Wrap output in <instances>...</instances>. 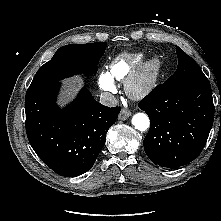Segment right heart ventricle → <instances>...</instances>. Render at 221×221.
Returning a JSON list of instances; mask_svg holds the SVG:
<instances>
[{
    "label": "right heart ventricle",
    "mask_w": 221,
    "mask_h": 221,
    "mask_svg": "<svg viewBox=\"0 0 221 221\" xmlns=\"http://www.w3.org/2000/svg\"><path fill=\"white\" fill-rule=\"evenodd\" d=\"M142 58V54L121 55L111 62L109 66L110 74L113 78L125 80L141 62Z\"/></svg>",
    "instance_id": "obj_1"
}]
</instances>
